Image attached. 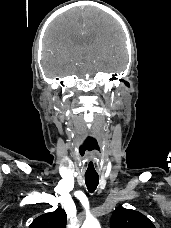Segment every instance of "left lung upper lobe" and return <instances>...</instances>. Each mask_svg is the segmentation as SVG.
<instances>
[{
  "label": "left lung upper lobe",
  "mask_w": 171,
  "mask_h": 228,
  "mask_svg": "<svg viewBox=\"0 0 171 228\" xmlns=\"http://www.w3.org/2000/svg\"><path fill=\"white\" fill-rule=\"evenodd\" d=\"M111 228H155L153 223L142 213L119 207L113 211Z\"/></svg>",
  "instance_id": "1"
}]
</instances>
